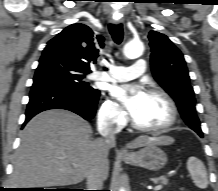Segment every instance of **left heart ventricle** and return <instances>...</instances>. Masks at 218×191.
I'll return each instance as SVG.
<instances>
[{"label":"left heart ventricle","instance_id":"1","mask_svg":"<svg viewBox=\"0 0 218 191\" xmlns=\"http://www.w3.org/2000/svg\"><path fill=\"white\" fill-rule=\"evenodd\" d=\"M170 115L169 106L163 98L147 94L133 118L141 126L160 127L169 121Z\"/></svg>","mask_w":218,"mask_h":191}]
</instances>
